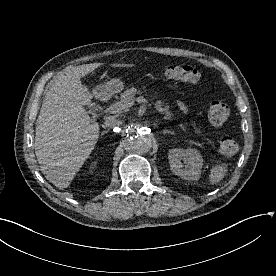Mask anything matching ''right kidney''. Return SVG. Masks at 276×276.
I'll return each mask as SVG.
<instances>
[{
  "instance_id": "ca27d5eb",
  "label": "right kidney",
  "mask_w": 276,
  "mask_h": 276,
  "mask_svg": "<svg viewBox=\"0 0 276 276\" xmlns=\"http://www.w3.org/2000/svg\"><path fill=\"white\" fill-rule=\"evenodd\" d=\"M95 167H96V162H94L90 165V167H89L90 173H93V170L95 169Z\"/></svg>"
}]
</instances>
